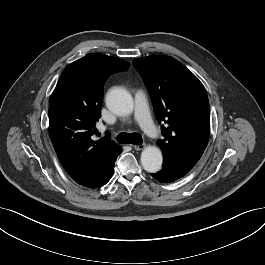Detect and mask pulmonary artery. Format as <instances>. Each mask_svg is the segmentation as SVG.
<instances>
[{
  "instance_id": "obj_1",
  "label": "pulmonary artery",
  "mask_w": 265,
  "mask_h": 265,
  "mask_svg": "<svg viewBox=\"0 0 265 265\" xmlns=\"http://www.w3.org/2000/svg\"><path fill=\"white\" fill-rule=\"evenodd\" d=\"M135 118L146 134L158 135L157 128L150 117L146 95L141 90L135 93Z\"/></svg>"
}]
</instances>
